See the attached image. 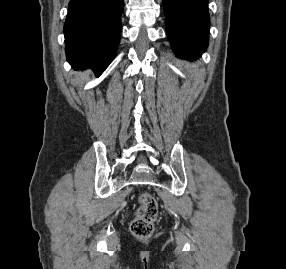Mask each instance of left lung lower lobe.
<instances>
[{
	"mask_svg": "<svg viewBox=\"0 0 286 269\" xmlns=\"http://www.w3.org/2000/svg\"><path fill=\"white\" fill-rule=\"evenodd\" d=\"M166 32L177 56L196 59L208 45V0H163Z\"/></svg>",
	"mask_w": 286,
	"mask_h": 269,
	"instance_id": "obj_1",
	"label": "left lung lower lobe"
}]
</instances>
